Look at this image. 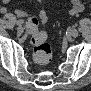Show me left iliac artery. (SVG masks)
I'll return each mask as SVG.
<instances>
[{
	"instance_id": "obj_1",
	"label": "left iliac artery",
	"mask_w": 91,
	"mask_h": 91,
	"mask_svg": "<svg viewBox=\"0 0 91 91\" xmlns=\"http://www.w3.org/2000/svg\"><path fill=\"white\" fill-rule=\"evenodd\" d=\"M78 27V23L77 22H74L73 24H70L69 25V28L70 29H75V28H77Z\"/></svg>"
}]
</instances>
